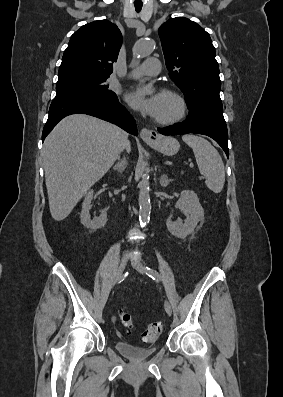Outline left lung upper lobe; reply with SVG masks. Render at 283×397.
<instances>
[{
	"label": "left lung upper lobe",
	"instance_id": "left-lung-upper-lobe-1",
	"mask_svg": "<svg viewBox=\"0 0 283 397\" xmlns=\"http://www.w3.org/2000/svg\"><path fill=\"white\" fill-rule=\"evenodd\" d=\"M158 33L169 76L185 94L188 108L223 111L219 66L209 33L183 17L169 19Z\"/></svg>",
	"mask_w": 283,
	"mask_h": 397
}]
</instances>
